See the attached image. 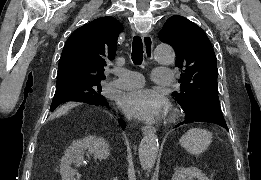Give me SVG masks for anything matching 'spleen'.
<instances>
[{"instance_id":"spleen-1","label":"spleen","mask_w":261,"mask_h":180,"mask_svg":"<svg viewBox=\"0 0 261 180\" xmlns=\"http://www.w3.org/2000/svg\"><path fill=\"white\" fill-rule=\"evenodd\" d=\"M212 142L211 132L200 130V128H191L180 140L182 148H185L193 156H201L208 150Z\"/></svg>"}]
</instances>
